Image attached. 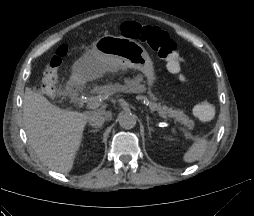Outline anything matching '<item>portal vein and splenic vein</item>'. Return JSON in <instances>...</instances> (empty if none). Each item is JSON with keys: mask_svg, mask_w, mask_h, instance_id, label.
<instances>
[{"mask_svg": "<svg viewBox=\"0 0 254 216\" xmlns=\"http://www.w3.org/2000/svg\"><path fill=\"white\" fill-rule=\"evenodd\" d=\"M100 105H101V102H100L99 100L92 99L91 101H89V102L87 103L86 107H87V109H95V108H98ZM157 113H158V115H159L161 118H163V119H165V120L168 119V116H167L165 113L160 112V111H158Z\"/></svg>", "mask_w": 254, "mask_h": 216, "instance_id": "1", "label": "portal vein and splenic vein"}]
</instances>
